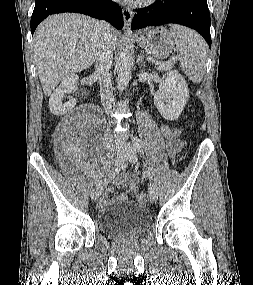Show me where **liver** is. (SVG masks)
Returning a JSON list of instances; mask_svg holds the SVG:
<instances>
[{
	"instance_id": "1",
	"label": "liver",
	"mask_w": 253,
	"mask_h": 285,
	"mask_svg": "<svg viewBox=\"0 0 253 285\" xmlns=\"http://www.w3.org/2000/svg\"><path fill=\"white\" fill-rule=\"evenodd\" d=\"M114 47L118 31L110 28ZM100 42V22L75 14H56L45 19L34 37V57L45 95L49 96L58 83L88 68L94 62Z\"/></svg>"
}]
</instances>
